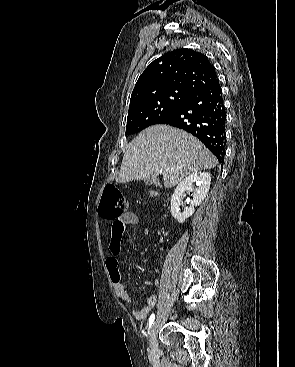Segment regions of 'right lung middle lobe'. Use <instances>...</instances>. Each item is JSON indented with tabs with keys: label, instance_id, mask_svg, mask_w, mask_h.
Returning <instances> with one entry per match:
<instances>
[{
	"label": "right lung middle lobe",
	"instance_id": "1",
	"mask_svg": "<svg viewBox=\"0 0 295 367\" xmlns=\"http://www.w3.org/2000/svg\"><path fill=\"white\" fill-rule=\"evenodd\" d=\"M189 95L184 91L171 90L133 102L129 106L126 136L156 124L175 111Z\"/></svg>",
	"mask_w": 295,
	"mask_h": 367
}]
</instances>
